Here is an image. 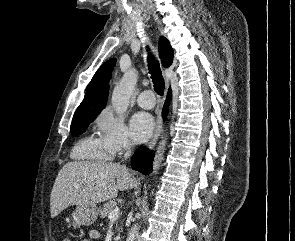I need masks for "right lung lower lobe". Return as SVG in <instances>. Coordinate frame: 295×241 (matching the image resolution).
Returning a JSON list of instances; mask_svg holds the SVG:
<instances>
[{
	"instance_id": "1",
	"label": "right lung lower lobe",
	"mask_w": 295,
	"mask_h": 241,
	"mask_svg": "<svg viewBox=\"0 0 295 241\" xmlns=\"http://www.w3.org/2000/svg\"><path fill=\"white\" fill-rule=\"evenodd\" d=\"M171 99V91L169 90L167 100L165 102L163 108V117L165 118L168 113L169 101ZM154 153L153 151H149L146 147H142L137 150L131 159V166L134 170L143 173L144 175H148L152 170V161H153Z\"/></svg>"
}]
</instances>
